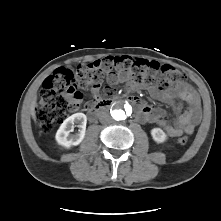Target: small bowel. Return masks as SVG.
<instances>
[{"mask_svg":"<svg viewBox=\"0 0 221 221\" xmlns=\"http://www.w3.org/2000/svg\"><path fill=\"white\" fill-rule=\"evenodd\" d=\"M107 71V81L110 85L124 83L128 90L139 87V83L134 82L122 69ZM151 97L164 102L172 107L176 117L173 121L168 120L163 109L138 101L137 119L140 122H152L162 127L171 137H178L182 134H192L201 119V103L195 90L186 82L180 83L174 87L159 88L155 85L147 86ZM92 100L87 103L90 107L100 98L99 85L92 89ZM81 101L74 102L75 107H79ZM181 103H186L188 108L182 112Z\"/></svg>","mask_w":221,"mask_h":221,"instance_id":"c3829d8e","label":"small bowel"}]
</instances>
